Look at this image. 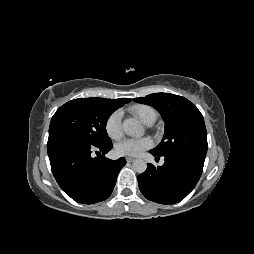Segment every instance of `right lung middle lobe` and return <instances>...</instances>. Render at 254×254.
Here are the masks:
<instances>
[{
  "mask_svg": "<svg viewBox=\"0 0 254 254\" xmlns=\"http://www.w3.org/2000/svg\"><path fill=\"white\" fill-rule=\"evenodd\" d=\"M115 110L108 99L94 97L71 100L53 115L49 133L63 132L93 145L111 143L106 123Z\"/></svg>",
  "mask_w": 254,
  "mask_h": 254,
  "instance_id": "right-lung-middle-lobe-1",
  "label": "right lung middle lobe"
}]
</instances>
